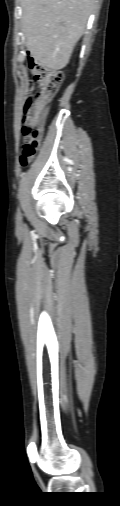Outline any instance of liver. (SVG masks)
I'll use <instances>...</instances> for the list:
<instances>
[{"label":"liver","mask_w":120,"mask_h":506,"mask_svg":"<svg viewBox=\"0 0 120 506\" xmlns=\"http://www.w3.org/2000/svg\"><path fill=\"white\" fill-rule=\"evenodd\" d=\"M22 31L32 57L44 66L63 69L76 41L85 32L94 0H20Z\"/></svg>","instance_id":"liver-1"}]
</instances>
